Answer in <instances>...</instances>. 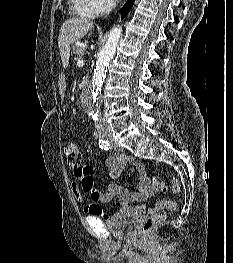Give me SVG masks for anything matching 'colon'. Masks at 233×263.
I'll use <instances>...</instances> for the list:
<instances>
[{
    "label": "colon",
    "instance_id": "obj_1",
    "mask_svg": "<svg viewBox=\"0 0 233 263\" xmlns=\"http://www.w3.org/2000/svg\"><path fill=\"white\" fill-rule=\"evenodd\" d=\"M64 151L68 165L72 169H74L75 173L88 172L87 169H83L81 166L82 154L75 142H68L65 145ZM151 182L155 191H162L166 187V183L164 181H159L156 178H153ZM179 189L180 184L178 180H174L172 186L173 193H177ZM165 209L168 211H173L175 209V203L173 201H167V203L165 204ZM165 218L166 214L164 212H158L149 217L142 226V235H149L156 226H158L165 220Z\"/></svg>",
    "mask_w": 233,
    "mask_h": 263
}]
</instances>
